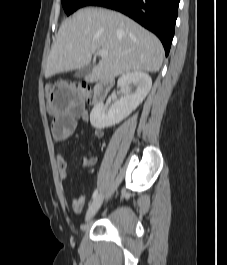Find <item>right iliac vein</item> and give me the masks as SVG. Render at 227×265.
<instances>
[{
	"instance_id": "63e3f726",
	"label": "right iliac vein",
	"mask_w": 227,
	"mask_h": 265,
	"mask_svg": "<svg viewBox=\"0 0 227 265\" xmlns=\"http://www.w3.org/2000/svg\"><path fill=\"white\" fill-rule=\"evenodd\" d=\"M102 201H103V195L102 194L98 195L93 200V202L90 204V206H89V208L87 210L86 216H85V221L86 222L90 221L94 217V215L99 210V208H100V206L102 204Z\"/></svg>"
}]
</instances>
